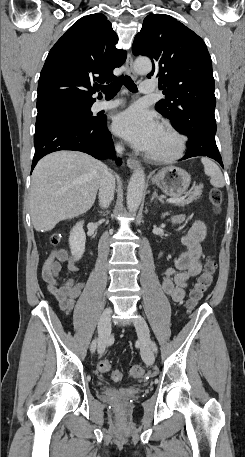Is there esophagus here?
I'll return each mask as SVG.
<instances>
[{
  "label": "esophagus",
  "mask_w": 245,
  "mask_h": 457,
  "mask_svg": "<svg viewBox=\"0 0 245 457\" xmlns=\"http://www.w3.org/2000/svg\"><path fill=\"white\" fill-rule=\"evenodd\" d=\"M126 69H127V74L130 75L134 80H136L137 73L134 70L133 58H132L131 54H128V56H127ZM127 165L129 168L134 169L139 166V162H138V160H136L134 158H128Z\"/></svg>",
  "instance_id": "esophagus-1"
}]
</instances>
